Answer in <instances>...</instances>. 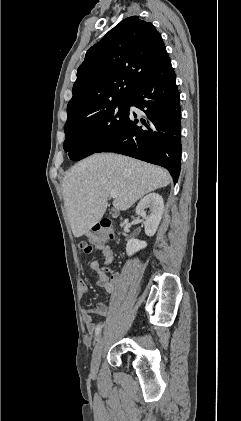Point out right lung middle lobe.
I'll use <instances>...</instances> for the list:
<instances>
[{
  "mask_svg": "<svg viewBox=\"0 0 241 421\" xmlns=\"http://www.w3.org/2000/svg\"><path fill=\"white\" fill-rule=\"evenodd\" d=\"M129 118L128 100L116 102L64 127L63 147L73 161L96 153L114 138Z\"/></svg>",
  "mask_w": 241,
  "mask_h": 421,
  "instance_id": "obj_1",
  "label": "right lung middle lobe"
}]
</instances>
